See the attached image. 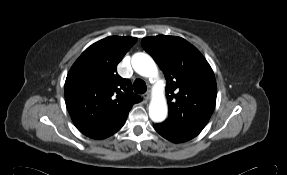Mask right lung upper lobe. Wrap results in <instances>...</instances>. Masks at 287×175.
<instances>
[{
  "mask_svg": "<svg viewBox=\"0 0 287 175\" xmlns=\"http://www.w3.org/2000/svg\"><path fill=\"white\" fill-rule=\"evenodd\" d=\"M137 38L110 36L88 47L71 67L65 81L67 110L80 132L101 140L124 125L128 113L142 99L116 66Z\"/></svg>",
  "mask_w": 287,
  "mask_h": 175,
  "instance_id": "1",
  "label": "right lung upper lobe"
}]
</instances>
